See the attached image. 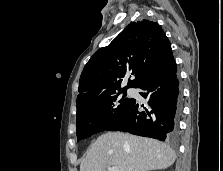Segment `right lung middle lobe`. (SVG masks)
Segmentation results:
<instances>
[{
    "label": "right lung middle lobe",
    "mask_w": 223,
    "mask_h": 171,
    "mask_svg": "<svg viewBox=\"0 0 223 171\" xmlns=\"http://www.w3.org/2000/svg\"><path fill=\"white\" fill-rule=\"evenodd\" d=\"M123 93V97L119 95ZM126 90L105 96L77 109V141L104 131L118 121L134 99L125 98Z\"/></svg>",
    "instance_id": "obj_1"
}]
</instances>
